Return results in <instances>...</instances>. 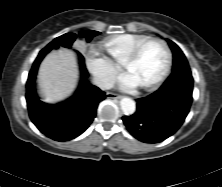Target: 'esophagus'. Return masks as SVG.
<instances>
[{
    "mask_svg": "<svg viewBox=\"0 0 222 187\" xmlns=\"http://www.w3.org/2000/svg\"><path fill=\"white\" fill-rule=\"evenodd\" d=\"M107 98L109 99H121V96L120 95H117V94H114V93H107L106 94Z\"/></svg>",
    "mask_w": 222,
    "mask_h": 187,
    "instance_id": "esophagus-1",
    "label": "esophagus"
}]
</instances>
